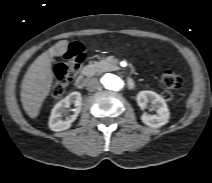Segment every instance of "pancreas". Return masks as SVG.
<instances>
[{"label":"pancreas","mask_w":212,"mask_h":183,"mask_svg":"<svg viewBox=\"0 0 212 183\" xmlns=\"http://www.w3.org/2000/svg\"><path fill=\"white\" fill-rule=\"evenodd\" d=\"M118 62H119L118 59L114 57H108L99 62H94L92 64H89L86 67V72H88L89 75H94V74H100L103 72L117 71L120 69L118 67Z\"/></svg>","instance_id":"1"}]
</instances>
